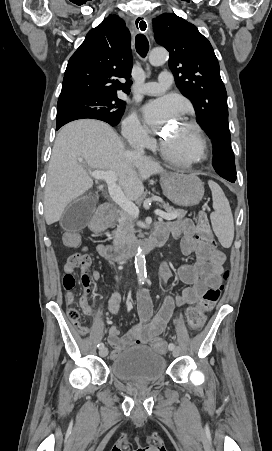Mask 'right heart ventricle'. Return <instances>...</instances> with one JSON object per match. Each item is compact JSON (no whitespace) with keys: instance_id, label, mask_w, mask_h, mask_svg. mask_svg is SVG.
Returning <instances> with one entry per match:
<instances>
[{"instance_id":"right-heart-ventricle-1","label":"right heart ventricle","mask_w":272,"mask_h":451,"mask_svg":"<svg viewBox=\"0 0 272 451\" xmlns=\"http://www.w3.org/2000/svg\"><path fill=\"white\" fill-rule=\"evenodd\" d=\"M170 100L174 103L175 102V100L173 99V98H170Z\"/></svg>"}]
</instances>
